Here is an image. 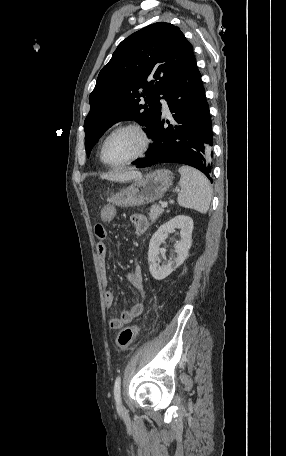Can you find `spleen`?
Wrapping results in <instances>:
<instances>
[{
    "instance_id": "obj_1",
    "label": "spleen",
    "mask_w": 286,
    "mask_h": 456,
    "mask_svg": "<svg viewBox=\"0 0 286 456\" xmlns=\"http://www.w3.org/2000/svg\"><path fill=\"white\" fill-rule=\"evenodd\" d=\"M181 174L178 204L184 208L206 213L209 209L212 190L208 179L203 173L188 166L179 168Z\"/></svg>"
}]
</instances>
